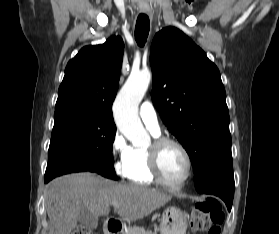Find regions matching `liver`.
Returning a JSON list of instances; mask_svg holds the SVG:
<instances>
[{
	"label": "liver",
	"instance_id": "6515ba94",
	"mask_svg": "<svg viewBox=\"0 0 279 234\" xmlns=\"http://www.w3.org/2000/svg\"><path fill=\"white\" fill-rule=\"evenodd\" d=\"M171 196L142 185L121 184L84 172L52 180L45 193L50 227L48 234H70L82 209L95 216H107L113 203H120L118 215L136 221L165 205Z\"/></svg>",
	"mask_w": 279,
	"mask_h": 234
}]
</instances>
